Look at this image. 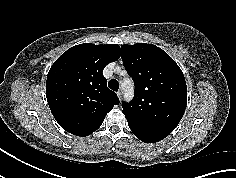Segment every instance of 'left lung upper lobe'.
Instances as JSON below:
<instances>
[{"label":"left lung upper lobe","instance_id":"obj_1","mask_svg":"<svg viewBox=\"0 0 236 178\" xmlns=\"http://www.w3.org/2000/svg\"><path fill=\"white\" fill-rule=\"evenodd\" d=\"M123 65L135 83V96L123 102L129 127L169 135L187 104L184 75L176 62L152 44L121 45Z\"/></svg>","mask_w":236,"mask_h":178}]
</instances>
